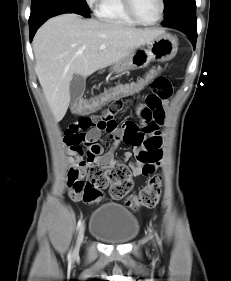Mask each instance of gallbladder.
Segmentation results:
<instances>
[{
  "instance_id": "obj_1",
  "label": "gallbladder",
  "mask_w": 231,
  "mask_h": 281,
  "mask_svg": "<svg viewBox=\"0 0 231 281\" xmlns=\"http://www.w3.org/2000/svg\"><path fill=\"white\" fill-rule=\"evenodd\" d=\"M85 86V78L81 75L74 74L69 88L72 103L76 102L83 95Z\"/></svg>"
}]
</instances>
